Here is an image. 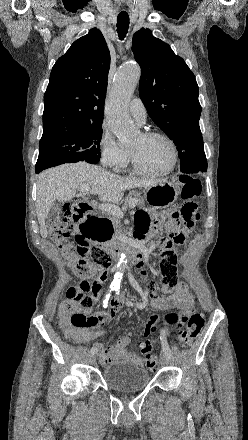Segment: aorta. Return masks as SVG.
<instances>
[{
    "instance_id": "aorta-1",
    "label": "aorta",
    "mask_w": 248,
    "mask_h": 440,
    "mask_svg": "<svg viewBox=\"0 0 248 440\" xmlns=\"http://www.w3.org/2000/svg\"><path fill=\"white\" fill-rule=\"evenodd\" d=\"M140 75L141 69L136 62L130 61L123 64L117 72L109 96L107 120L110 130L121 144L131 143L138 134V129L130 119L128 105L139 82ZM126 265V255L122 253L111 283L112 288H119Z\"/></svg>"
}]
</instances>
